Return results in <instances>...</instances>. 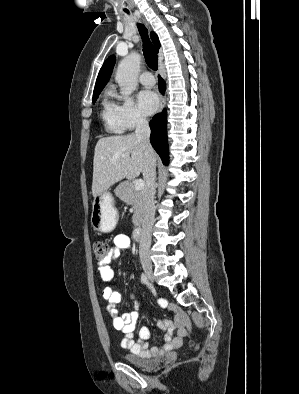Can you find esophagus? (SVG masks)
I'll return each instance as SVG.
<instances>
[{"label": "esophagus", "instance_id": "34e87169", "mask_svg": "<svg viewBox=\"0 0 299 394\" xmlns=\"http://www.w3.org/2000/svg\"><path fill=\"white\" fill-rule=\"evenodd\" d=\"M164 104H165V99H164V96L161 95L160 96V111L163 109Z\"/></svg>", "mask_w": 299, "mask_h": 394}]
</instances>
